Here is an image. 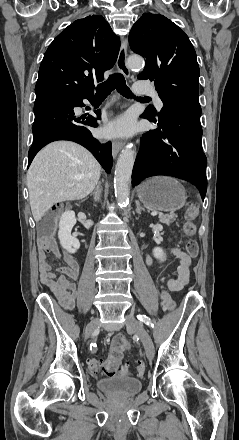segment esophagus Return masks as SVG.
I'll return each instance as SVG.
<instances>
[{
	"instance_id": "esophagus-1",
	"label": "esophagus",
	"mask_w": 239,
	"mask_h": 440,
	"mask_svg": "<svg viewBox=\"0 0 239 440\" xmlns=\"http://www.w3.org/2000/svg\"><path fill=\"white\" fill-rule=\"evenodd\" d=\"M117 68L120 73H122L125 77L130 76V70L127 65V40H123L122 45L120 47L119 55L116 62ZM124 147V143L119 140H114L112 142V155L113 158H116L120 150Z\"/></svg>"
}]
</instances>
